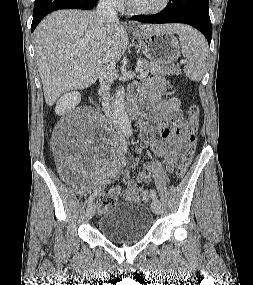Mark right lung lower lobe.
I'll list each match as a JSON object with an SVG mask.
<instances>
[{
	"instance_id": "obj_1",
	"label": "right lung lower lobe",
	"mask_w": 253,
	"mask_h": 285,
	"mask_svg": "<svg viewBox=\"0 0 253 285\" xmlns=\"http://www.w3.org/2000/svg\"><path fill=\"white\" fill-rule=\"evenodd\" d=\"M97 0H35L31 32L50 12L58 9H92Z\"/></svg>"
}]
</instances>
